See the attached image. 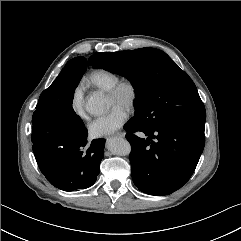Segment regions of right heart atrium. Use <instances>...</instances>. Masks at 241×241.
<instances>
[{
    "mask_svg": "<svg viewBox=\"0 0 241 241\" xmlns=\"http://www.w3.org/2000/svg\"><path fill=\"white\" fill-rule=\"evenodd\" d=\"M71 107L77 116L81 118L85 117L84 91L81 86L76 87L73 92Z\"/></svg>",
    "mask_w": 241,
    "mask_h": 241,
    "instance_id": "right-heart-atrium-1",
    "label": "right heart atrium"
}]
</instances>
